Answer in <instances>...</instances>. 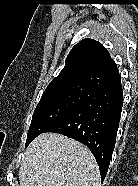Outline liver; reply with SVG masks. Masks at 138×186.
<instances>
[{"mask_svg": "<svg viewBox=\"0 0 138 186\" xmlns=\"http://www.w3.org/2000/svg\"><path fill=\"white\" fill-rule=\"evenodd\" d=\"M20 186H100L90 150L58 133H42L25 151Z\"/></svg>", "mask_w": 138, "mask_h": 186, "instance_id": "1", "label": "liver"}]
</instances>
